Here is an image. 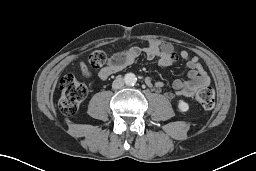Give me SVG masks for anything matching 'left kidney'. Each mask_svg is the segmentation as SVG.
<instances>
[{
  "label": "left kidney",
  "instance_id": "5707ae66",
  "mask_svg": "<svg viewBox=\"0 0 256 171\" xmlns=\"http://www.w3.org/2000/svg\"><path fill=\"white\" fill-rule=\"evenodd\" d=\"M178 109L181 112H187L189 110V104L187 102H185L184 100H179Z\"/></svg>",
  "mask_w": 256,
  "mask_h": 171
}]
</instances>
